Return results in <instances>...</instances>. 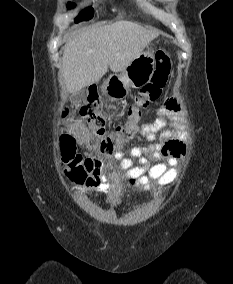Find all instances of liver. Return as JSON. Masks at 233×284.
<instances>
[{
  "label": "liver",
  "instance_id": "1",
  "mask_svg": "<svg viewBox=\"0 0 233 284\" xmlns=\"http://www.w3.org/2000/svg\"><path fill=\"white\" fill-rule=\"evenodd\" d=\"M158 32L130 21L93 26L69 39L64 46L61 74L67 91L76 94L97 83L111 69L122 72Z\"/></svg>",
  "mask_w": 233,
  "mask_h": 284
}]
</instances>
